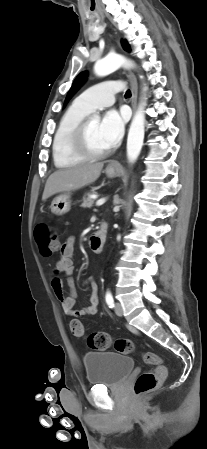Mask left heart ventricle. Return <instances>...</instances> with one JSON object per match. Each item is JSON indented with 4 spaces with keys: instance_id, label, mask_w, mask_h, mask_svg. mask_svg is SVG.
I'll use <instances>...</instances> for the list:
<instances>
[{
    "instance_id": "obj_1",
    "label": "left heart ventricle",
    "mask_w": 207,
    "mask_h": 449,
    "mask_svg": "<svg viewBox=\"0 0 207 449\" xmlns=\"http://www.w3.org/2000/svg\"><path fill=\"white\" fill-rule=\"evenodd\" d=\"M99 125L98 121L91 120L87 128L88 144L95 151H102L109 148L100 134Z\"/></svg>"
}]
</instances>
